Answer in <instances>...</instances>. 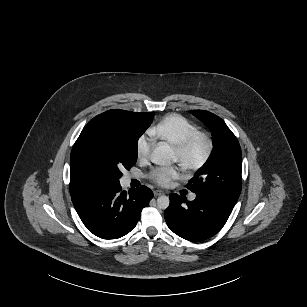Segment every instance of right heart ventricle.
Returning a JSON list of instances; mask_svg holds the SVG:
<instances>
[{"instance_id": "1", "label": "right heart ventricle", "mask_w": 307, "mask_h": 307, "mask_svg": "<svg viewBox=\"0 0 307 307\" xmlns=\"http://www.w3.org/2000/svg\"><path fill=\"white\" fill-rule=\"evenodd\" d=\"M146 133L154 141L155 148L162 143L176 147L195 136L197 129L185 118L169 114L159 122L150 124Z\"/></svg>"}]
</instances>
